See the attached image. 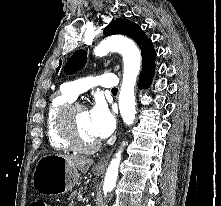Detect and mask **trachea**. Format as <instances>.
<instances>
[{"label":"trachea","instance_id":"trachea-1","mask_svg":"<svg viewBox=\"0 0 221 206\" xmlns=\"http://www.w3.org/2000/svg\"><path fill=\"white\" fill-rule=\"evenodd\" d=\"M117 91H118L117 88H113V89H112V92H117Z\"/></svg>","mask_w":221,"mask_h":206}]
</instances>
